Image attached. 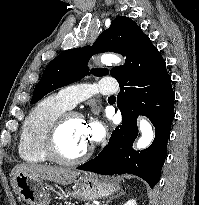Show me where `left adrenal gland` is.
Here are the masks:
<instances>
[{"label":"left adrenal gland","instance_id":"obj_1","mask_svg":"<svg viewBox=\"0 0 199 205\" xmlns=\"http://www.w3.org/2000/svg\"><path fill=\"white\" fill-rule=\"evenodd\" d=\"M124 194H125V192H123V191L119 192L116 196L110 197L103 205H108L114 198L120 197Z\"/></svg>","mask_w":199,"mask_h":205}]
</instances>
